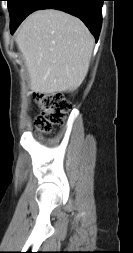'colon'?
Instances as JSON below:
<instances>
[{
  "label": "colon",
  "mask_w": 133,
  "mask_h": 253,
  "mask_svg": "<svg viewBox=\"0 0 133 253\" xmlns=\"http://www.w3.org/2000/svg\"><path fill=\"white\" fill-rule=\"evenodd\" d=\"M34 100L40 109L34 122L38 132L48 133L64 123L69 104L61 94L37 93Z\"/></svg>",
  "instance_id": "1"
}]
</instances>
